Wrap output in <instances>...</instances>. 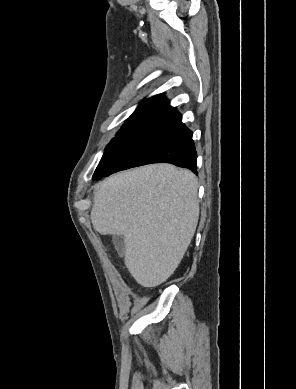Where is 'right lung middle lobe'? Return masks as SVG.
Here are the masks:
<instances>
[{"instance_id": "1", "label": "right lung middle lobe", "mask_w": 296, "mask_h": 389, "mask_svg": "<svg viewBox=\"0 0 296 389\" xmlns=\"http://www.w3.org/2000/svg\"><path fill=\"white\" fill-rule=\"evenodd\" d=\"M179 123L153 116L129 119L106 147L95 173L140 166L157 142Z\"/></svg>"}]
</instances>
